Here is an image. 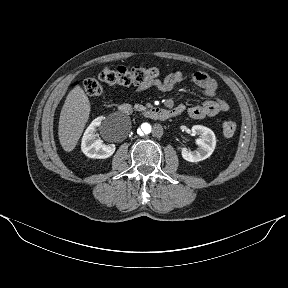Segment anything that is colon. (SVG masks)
Segmentation results:
<instances>
[{
	"mask_svg": "<svg viewBox=\"0 0 288 288\" xmlns=\"http://www.w3.org/2000/svg\"><path fill=\"white\" fill-rule=\"evenodd\" d=\"M158 69L155 67H132L120 66L116 69L105 68L99 73V80L108 84L119 85H139L158 77ZM76 86H80L89 96H101L105 93L100 82L93 78L77 81ZM224 135L230 137L237 130V123L232 119H227L222 124Z\"/></svg>",
	"mask_w": 288,
	"mask_h": 288,
	"instance_id": "obj_1",
	"label": "colon"
}]
</instances>
